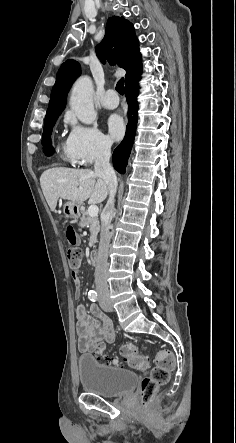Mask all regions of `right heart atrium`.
<instances>
[{
	"instance_id": "d8ad5b80",
	"label": "right heart atrium",
	"mask_w": 236,
	"mask_h": 443,
	"mask_svg": "<svg viewBox=\"0 0 236 443\" xmlns=\"http://www.w3.org/2000/svg\"><path fill=\"white\" fill-rule=\"evenodd\" d=\"M65 119L70 125L65 142V156L69 161L89 166L106 154L109 142L100 132L78 123L71 113H67Z\"/></svg>"
}]
</instances>
